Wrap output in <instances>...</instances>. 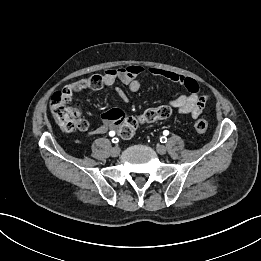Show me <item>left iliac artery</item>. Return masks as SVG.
Instances as JSON below:
<instances>
[{"label": "left iliac artery", "mask_w": 261, "mask_h": 261, "mask_svg": "<svg viewBox=\"0 0 261 261\" xmlns=\"http://www.w3.org/2000/svg\"><path fill=\"white\" fill-rule=\"evenodd\" d=\"M163 134L164 135H168L169 134V131L168 130H165V131H163ZM160 141L162 142V143H166L167 142V138L164 136V137H161L160 138Z\"/></svg>", "instance_id": "1"}]
</instances>
